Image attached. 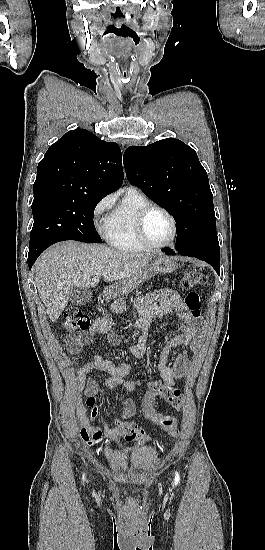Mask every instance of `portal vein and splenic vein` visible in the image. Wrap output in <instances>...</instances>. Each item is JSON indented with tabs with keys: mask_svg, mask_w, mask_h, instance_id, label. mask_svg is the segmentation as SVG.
Instances as JSON below:
<instances>
[{
	"mask_svg": "<svg viewBox=\"0 0 265 550\" xmlns=\"http://www.w3.org/2000/svg\"><path fill=\"white\" fill-rule=\"evenodd\" d=\"M106 275H107V273H106V272L102 273V276H103V277H106Z\"/></svg>",
	"mask_w": 265,
	"mask_h": 550,
	"instance_id": "1",
	"label": "portal vein and splenic vein"
}]
</instances>
